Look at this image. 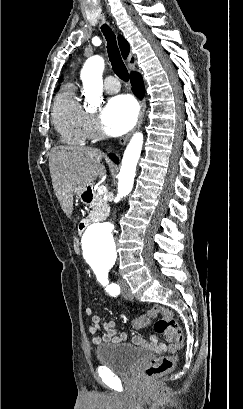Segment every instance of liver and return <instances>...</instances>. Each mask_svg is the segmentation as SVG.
<instances>
[{
    "mask_svg": "<svg viewBox=\"0 0 243 409\" xmlns=\"http://www.w3.org/2000/svg\"><path fill=\"white\" fill-rule=\"evenodd\" d=\"M102 151L85 146H56L49 154L52 184L64 213L69 217L73 211V192L76 187L91 186L105 175L101 163Z\"/></svg>",
    "mask_w": 243,
    "mask_h": 409,
    "instance_id": "6515ba94",
    "label": "liver"
}]
</instances>
